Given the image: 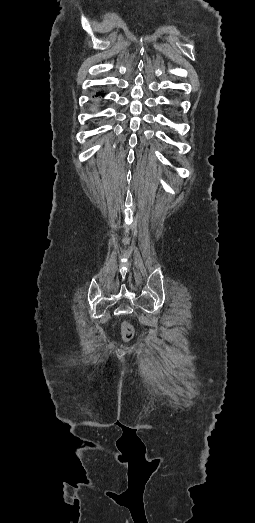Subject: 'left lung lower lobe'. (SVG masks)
Returning a JSON list of instances; mask_svg holds the SVG:
<instances>
[{
	"label": "left lung lower lobe",
	"mask_w": 255,
	"mask_h": 523,
	"mask_svg": "<svg viewBox=\"0 0 255 523\" xmlns=\"http://www.w3.org/2000/svg\"><path fill=\"white\" fill-rule=\"evenodd\" d=\"M175 103H180L181 105H184L186 103V100L184 98H181L180 100H175Z\"/></svg>",
	"instance_id": "left-lung-lower-lobe-1"
}]
</instances>
